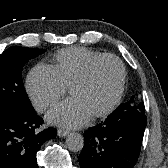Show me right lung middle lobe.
<instances>
[{
	"instance_id": "obj_1",
	"label": "right lung middle lobe",
	"mask_w": 168,
	"mask_h": 168,
	"mask_svg": "<svg viewBox=\"0 0 168 168\" xmlns=\"http://www.w3.org/2000/svg\"><path fill=\"white\" fill-rule=\"evenodd\" d=\"M45 50L10 47L0 55V106L32 110L22 82V68Z\"/></svg>"
}]
</instances>
